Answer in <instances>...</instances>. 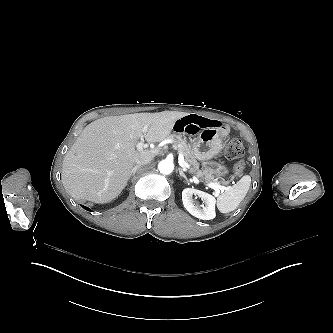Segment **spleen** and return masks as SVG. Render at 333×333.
<instances>
[{"instance_id": "3e777b00", "label": "spleen", "mask_w": 333, "mask_h": 333, "mask_svg": "<svg viewBox=\"0 0 333 333\" xmlns=\"http://www.w3.org/2000/svg\"><path fill=\"white\" fill-rule=\"evenodd\" d=\"M251 177L244 175L236 184L229 186L217 198V208L221 213L234 211L249 191Z\"/></svg>"}]
</instances>
